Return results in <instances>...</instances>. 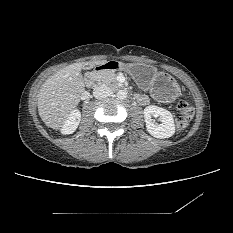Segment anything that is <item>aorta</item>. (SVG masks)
Instances as JSON below:
<instances>
[{
	"label": "aorta",
	"mask_w": 233,
	"mask_h": 233,
	"mask_svg": "<svg viewBox=\"0 0 233 233\" xmlns=\"http://www.w3.org/2000/svg\"><path fill=\"white\" fill-rule=\"evenodd\" d=\"M117 97L121 100L126 99L127 97V91L124 89H119L117 92Z\"/></svg>",
	"instance_id": "obj_1"
}]
</instances>
